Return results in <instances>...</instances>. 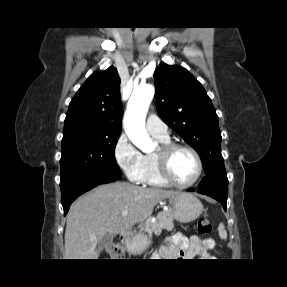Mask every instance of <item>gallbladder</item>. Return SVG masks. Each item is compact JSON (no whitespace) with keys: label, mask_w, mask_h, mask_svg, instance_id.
<instances>
[{"label":"gallbladder","mask_w":287,"mask_h":287,"mask_svg":"<svg viewBox=\"0 0 287 287\" xmlns=\"http://www.w3.org/2000/svg\"><path fill=\"white\" fill-rule=\"evenodd\" d=\"M112 240L113 236L111 234L104 235L98 242V252H101L106 246H108L112 242Z\"/></svg>","instance_id":"gallbladder-1"}]
</instances>
